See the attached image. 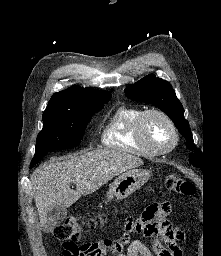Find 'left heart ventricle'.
Segmentation results:
<instances>
[{
  "label": "left heart ventricle",
  "mask_w": 221,
  "mask_h": 256,
  "mask_svg": "<svg viewBox=\"0 0 221 256\" xmlns=\"http://www.w3.org/2000/svg\"><path fill=\"white\" fill-rule=\"evenodd\" d=\"M145 135L156 148L164 149L173 142V133L164 119L151 115L145 122Z\"/></svg>",
  "instance_id": "obj_1"
}]
</instances>
